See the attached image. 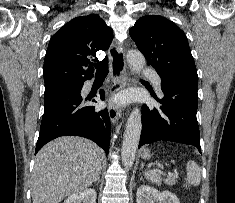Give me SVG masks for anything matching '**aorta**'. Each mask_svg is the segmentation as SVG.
I'll return each mask as SVG.
<instances>
[{"label":"aorta","mask_w":235,"mask_h":203,"mask_svg":"<svg viewBox=\"0 0 235 203\" xmlns=\"http://www.w3.org/2000/svg\"><path fill=\"white\" fill-rule=\"evenodd\" d=\"M127 61L133 73H139L145 66V57L136 50L127 53ZM141 130V112L135 108L128 117L121 150L122 164L126 170L130 169L134 163Z\"/></svg>","instance_id":"obj_1"}]
</instances>
